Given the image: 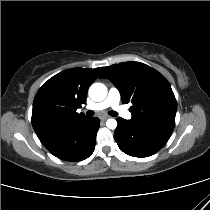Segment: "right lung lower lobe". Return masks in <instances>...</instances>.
Segmentation results:
<instances>
[{"mask_svg": "<svg viewBox=\"0 0 210 210\" xmlns=\"http://www.w3.org/2000/svg\"><path fill=\"white\" fill-rule=\"evenodd\" d=\"M99 119L87 117L69 125L43 145L57 158L81 161L95 149Z\"/></svg>", "mask_w": 210, "mask_h": 210, "instance_id": "obj_1", "label": "right lung lower lobe"}]
</instances>
